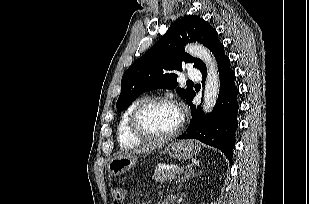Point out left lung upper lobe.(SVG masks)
<instances>
[{
    "instance_id": "5c2ea615",
    "label": "left lung upper lobe",
    "mask_w": 309,
    "mask_h": 204,
    "mask_svg": "<svg viewBox=\"0 0 309 204\" xmlns=\"http://www.w3.org/2000/svg\"><path fill=\"white\" fill-rule=\"evenodd\" d=\"M196 41L208 47L215 57L223 46L216 30L202 18L189 15L172 23L166 34L124 73L116 105L118 112L146 91L175 89L176 73L182 71L184 63H193L200 71L205 70L203 61L184 52V45ZM176 91L187 104L195 93L183 88Z\"/></svg>"
}]
</instances>
